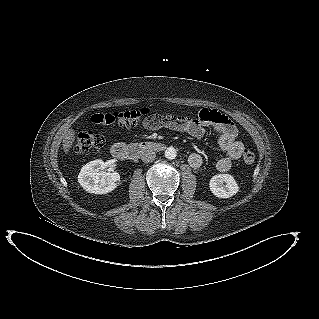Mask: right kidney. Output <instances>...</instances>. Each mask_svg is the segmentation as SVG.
Segmentation results:
<instances>
[{
  "instance_id": "right-kidney-1",
  "label": "right kidney",
  "mask_w": 319,
  "mask_h": 319,
  "mask_svg": "<svg viewBox=\"0 0 319 319\" xmlns=\"http://www.w3.org/2000/svg\"><path fill=\"white\" fill-rule=\"evenodd\" d=\"M106 164L96 159L85 164L78 175L79 184L89 193L107 194L117 188L120 175L117 172L102 171Z\"/></svg>"
}]
</instances>
